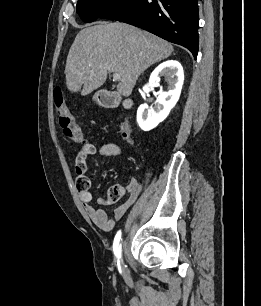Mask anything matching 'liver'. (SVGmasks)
<instances>
[{
	"label": "liver",
	"mask_w": 261,
	"mask_h": 306,
	"mask_svg": "<svg viewBox=\"0 0 261 306\" xmlns=\"http://www.w3.org/2000/svg\"><path fill=\"white\" fill-rule=\"evenodd\" d=\"M173 46L167 41L125 23H101L82 29L70 47L66 86L85 96L101 87L107 73L121 76L117 91L128 97L138 77L151 65L168 58Z\"/></svg>",
	"instance_id": "6515ba94"
}]
</instances>
